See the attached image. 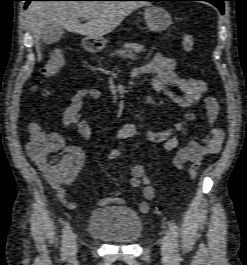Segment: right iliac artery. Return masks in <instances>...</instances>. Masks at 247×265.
Listing matches in <instances>:
<instances>
[{
    "instance_id": "right-iliac-artery-1",
    "label": "right iliac artery",
    "mask_w": 247,
    "mask_h": 265,
    "mask_svg": "<svg viewBox=\"0 0 247 265\" xmlns=\"http://www.w3.org/2000/svg\"><path fill=\"white\" fill-rule=\"evenodd\" d=\"M69 233H70V225L69 223H66L62 232V243H61V256L63 259H66V257L68 256Z\"/></svg>"
}]
</instances>
